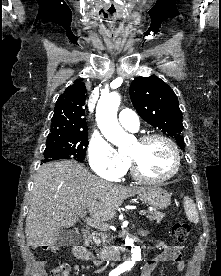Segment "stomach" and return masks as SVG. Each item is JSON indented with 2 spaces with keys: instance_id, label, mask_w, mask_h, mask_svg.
Masks as SVG:
<instances>
[{
  "instance_id": "0dacf381",
  "label": "stomach",
  "mask_w": 221,
  "mask_h": 276,
  "mask_svg": "<svg viewBox=\"0 0 221 276\" xmlns=\"http://www.w3.org/2000/svg\"><path fill=\"white\" fill-rule=\"evenodd\" d=\"M139 197L156 209H165L171 203V195L159 187L147 189L141 192Z\"/></svg>"
}]
</instances>
